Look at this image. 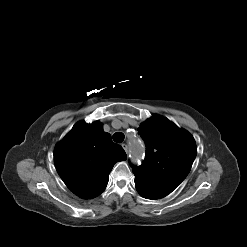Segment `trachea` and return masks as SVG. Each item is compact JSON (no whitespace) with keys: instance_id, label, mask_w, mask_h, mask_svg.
<instances>
[{"instance_id":"3493384b","label":"trachea","mask_w":247,"mask_h":247,"mask_svg":"<svg viewBox=\"0 0 247 247\" xmlns=\"http://www.w3.org/2000/svg\"><path fill=\"white\" fill-rule=\"evenodd\" d=\"M125 136L122 132H116L113 134V140L116 142V143H122L123 140H124Z\"/></svg>"}]
</instances>
